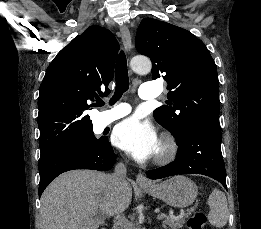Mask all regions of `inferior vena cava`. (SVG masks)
Here are the masks:
<instances>
[{
  "mask_svg": "<svg viewBox=\"0 0 261 229\" xmlns=\"http://www.w3.org/2000/svg\"><path fill=\"white\" fill-rule=\"evenodd\" d=\"M126 175L127 169L124 163H117V165H115V171L113 175H109L107 179L112 195H119L122 187H125L127 183ZM126 221L127 219H125L124 215L119 213V215L115 217V229H124Z\"/></svg>",
  "mask_w": 261,
  "mask_h": 229,
  "instance_id": "obj_1",
  "label": "inferior vena cava"
}]
</instances>
